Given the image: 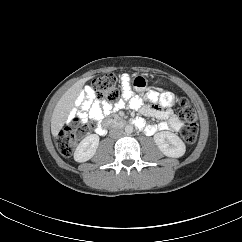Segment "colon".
Returning <instances> with one entry per match:
<instances>
[{
	"label": "colon",
	"instance_id": "1",
	"mask_svg": "<svg viewBox=\"0 0 242 242\" xmlns=\"http://www.w3.org/2000/svg\"><path fill=\"white\" fill-rule=\"evenodd\" d=\"M93 93L99 101H116L119 98L120 90L118 80L112 73H106L93 82ZM179 114L184 120L181 134L187 145H193L197 139L198 125L197 115L194 107L184 98L179 97ZM86 132L85 121L75 116L65 129H62L57 136V148L61 155L70 156L76 146L78 137Z\"/></svg>",
	"mask_w": 242,
	"mask_h": 242
}]
</instances>
